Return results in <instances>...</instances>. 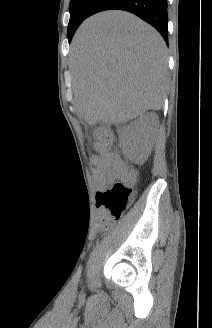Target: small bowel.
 <instances>
[{
  "label": "small bowel",
  "mask_w": 212,
  "mask_h": 328,
  "mask_svg": "<svg viewBox=\"0 0 212 328\" xmlns=\"http://www.w3.org/2000/svg\"><path fill=\"white\" fill-rule=\"evenodd\" d=\"M95 149L98 153L92 157V162L96 167L95 174L102 183L111 181L115 176L133 180L134 174L125 175L123 161L114 151L100 143L95 145Z\"/></svg>",
  "instance_id": "obj_1"
}]
</instances>
